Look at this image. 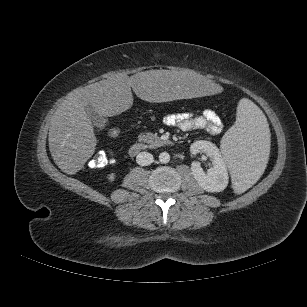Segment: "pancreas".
I'll use <instances>...</instances> for the list:
<instances>
[{
    "mask_svg": "<svg viewBox=\"0 0 307 307\" xmlns=\"http://www.w3.org/2000/svg\"><path fill=\"white\" fill-rule=\"evenodd\" d=\"M138 141L141 143H147L154 146H159L162 144V141L159 139L157 134H153L151 132L139 134Z\"/></svg>",
    "mask_w": 307,
    "mask_h": 307,
    "instance_id": "pancreas-1",
    "label": "pancreas"
}]
</instances>
